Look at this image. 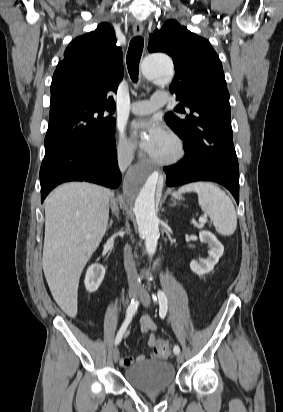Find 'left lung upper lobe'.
I'll list each match as a JSON object with an SVG mask.
<instances>
[{"label":"left lung upper lobe","instance_id":"obj_1","mask_svg":"<svg viewBox=\"0 0 283 412\" xmlns=\"http://www.w3.org/2000/svg\"><path fill=\"white\" fill-rule=\"evenodd\" d=\"M149 52H164L173 58L175 77L170 91L181 103L165 117L182 138L193 134L210 159L222 168L239 170L233 146L229 92L222 64L211 44L174 20L156 30L148 44Z\"/></svg>","mask_w":283,"mask_h":412}]
</instances>
